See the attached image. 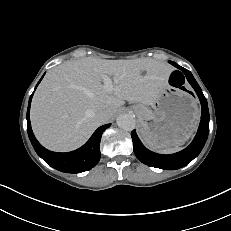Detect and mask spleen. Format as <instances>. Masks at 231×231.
<instances>
[{"label": "spleen", "instance_id": "spleen-1", "mask_svg": "<svg viewBox=\"0 0 231 231\" xmlns=\"http://www.w3.org/2000/svg\"><path fill=\"white\" fill-rule=\"evenodd\" d=\"M181 149V147L179 146H174V147H168V148H165L163 150H160L159 152L160 153H164V154H170V153H174V152H177Z\"/></svg>", "mask_w": 231, "mask_h": 231}]
</instances>
